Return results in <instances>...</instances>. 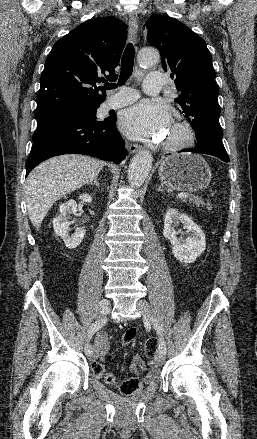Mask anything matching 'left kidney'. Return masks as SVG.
I'll return each mask as SVG.
<instances>
[{
	"mask_svg": "<svg viewBox=\"0 0 257 439\" xmlns=\"http://www.w3.org/2000/svg\"><path fill=\"white\" fill-rule=\"evenodd\" d=\"M180 223L186 229V237H177L175 227ZM163 235L172 244L174 257L183 263H193L206 248L205 234L188 216L176 209H169L164 218Z\"/></svg>",
	"mask_w": 257,
	"mask_h": 439,
	"instance_id": "left-kidney-1",
	"label": "left kidney"
}]
</instances>
